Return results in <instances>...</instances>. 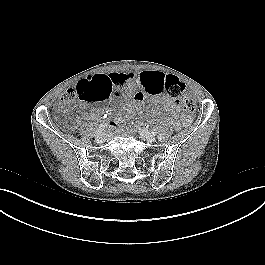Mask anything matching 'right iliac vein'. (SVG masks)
<instances>
[{
	"instance_id": "1",
	"label": "right iliac vein",
	"mask_w": 265,
	"mask_h": 265,
	"mask_svg": "<svg viewBox=\"0 0 265 265\" xmlns=\"http://www.w3.org/2000/svg\"><path fill=\"white\" fill-rule=\"evenodd\" d=\"M97 143H104L106 141V136L105 134H100L96 137Z\"/></svg>"
}]
</instances>
